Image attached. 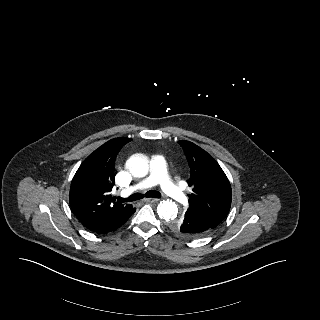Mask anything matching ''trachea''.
Instances as JSON below:
<instances>
[{"instance_id": "3493384b", "label": "trachea", "mask_w": 320, "mask_h": 320, "mask_svg": "<svg viewBox=\"0 0 320 320\" xmlns=\"http://www.w3.org/2000/svg\"><path fill=\"white\" fill-rule=\"evenodd\" d=\"M145 196L148 197V198H160L161 194L158 191L150 190V191L145 193ZM143 197H144V195H142L140 193H134L131 196H129L128 198L118 197V201L119 202H133V201L140 200Z\"/></svg>"}]
</instances>
